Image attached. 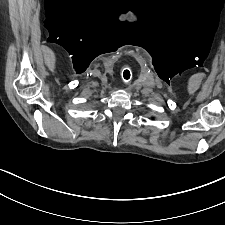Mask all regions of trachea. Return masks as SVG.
<instances>
[{
    "label": "trachea",
    "mask_w": 225,
    "mask_h": 225,
    "mask_svg": "<svg viewBox=\"0 0 225 225\" xmlns=\"http://www.w3.org/2000/svg\"><path fill=\"white\" fill-rule=\"evenodd\" d=\"M126 71H128V70H125V71L123 72V77H124V79H128L127 74L125 73Z\"/></svg>",
    "instance_id": "1"
}]
</instances>
